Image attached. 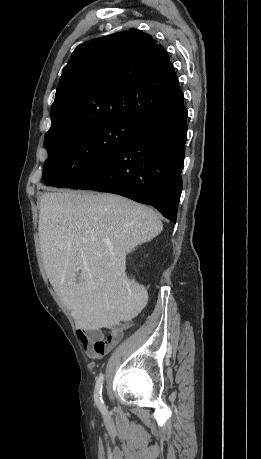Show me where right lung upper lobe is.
Wrapping results in <instances>:
<instances>
[{"label":"right lung upper lobe","mask_w":261,"mask_h":459,"mask_svg":"<svg viewBox=\"0 0 261 459\" xmlns=\"http://www.w3.org/2000/svg\"><path fill=\"white\" fill-rule=\"evenodd\" d=\"M183 99L167 51L137 29L80 44L62 71L46 134L114 120L140 124Z\"/></svg>","instance_id":"right-lung-upper-lobe-1"}]
</instances>
